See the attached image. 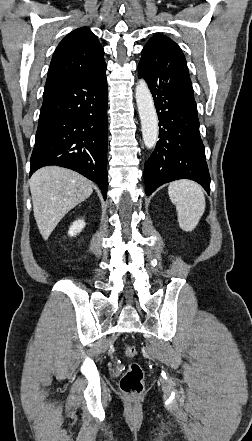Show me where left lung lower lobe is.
<instances>
[{
	"label": "left lung lower lobe",
	"instance_id": "obj_1",
	"mask_svg": "<svg viewBox=\"0 0 252 441\" xmlns=\"http://www.w3.org/2000/svg\"><path fill=\"white\" fill-rule=\"evenodd\" d=\"M159 118V141L145 162V192L178 179H191L209 193L210 175L199 132L196 102L185 57L177 44L142 51L138 65Z\"/></svg>",
	"mask_w": 252,
	"mask_h": 441
}]
</instances>
